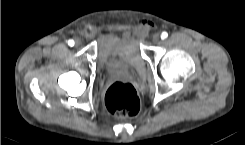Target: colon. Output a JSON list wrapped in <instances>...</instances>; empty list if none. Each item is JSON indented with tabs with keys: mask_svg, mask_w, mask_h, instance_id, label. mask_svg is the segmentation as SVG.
<instances>
[{
	"mask_svg": "<svg viewBox=\"0 0 245 145\" xmlns=\"http://www.w3.org/2000/svg\"><path fill=\"white\" fill-rule=\"evenodd\" d=\"M146 26V21H140ZM105 103L109 111L119 117L132 116L138 113L140 101L135 87L131 83L116 81L107 89Z\"/></svg>",
	"mask_w": 245,
	"mask_h": 145,
	"instance_id": "obj_1",
	"label": "colon"
}]
</instances>
